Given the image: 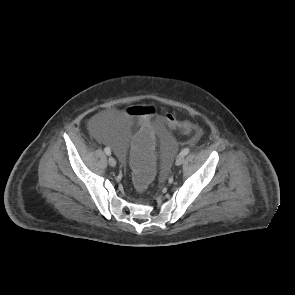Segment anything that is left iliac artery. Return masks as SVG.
I'll return each mask as SVG.
<instances>
[{"label": "left iliac artery", "mask_w": 295, "mask_h": 295, "mask_svg": "<svg viewBox=\"0 0 295 295\" xmlns=\"http://www.w3.org/2000/svg\"><path fill=\"white\" fill-rule=\"evenodd\" d=\"M190 149L189 148H185L180 152V156H185L189 153Z\"/></svg>", "instance_id": "1"}]
</instances>
